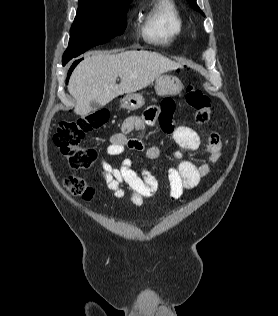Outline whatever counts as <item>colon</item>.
<instances>
[{
    "label": "colon",
    "mask_w": 278,
    "mask_h": 316,
    "mask_svg": "<svg viewBox=\"0 0 278 316\" xmlns=\"http://www.w3.org/2000/svg\"><path fill=\"white\" fill-rule=\"evenodd\" d=\"M185 99L187 104L195 110V120L199 124L208 123L212 117L209 98L194 85L186 88ZM108 119L106 111L95 112L75 120H63L54 136L53 141L67 158L73 169H87L97 160L95 148L81 146L86 133L102 127ZM65 187L74 196L90 200L93 190L84 179L70 176L65 180Z\"/></svg>",
    "instance_id": "colon-1"
}]
</instances>
